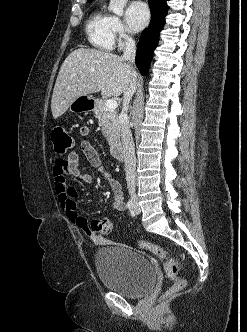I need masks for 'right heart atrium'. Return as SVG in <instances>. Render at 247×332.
Here are the masks:
<instances>
[{"instance_id": "d8ad5b80", "label": "right heart atrium", "mask_w": 247, "mask_h": 332, "mask_svg": "<svg viewBox=\"0 0 247 332\" xmlns=\"http://www.w3.org/2000/svg\"><path fill=\"white\" fill-rule=\"evenodd\" d=\"M113 30L120 44L130 40V33L118 17H113Z\"/></svg>"}]
</instances>
